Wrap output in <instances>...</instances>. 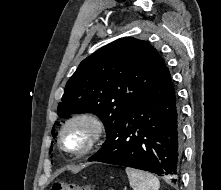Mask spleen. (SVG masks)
<instances>
[{
  "label": "spleen",
  "mask_w": 221,
  "mask_h": 190,
  "mask_svg": "<svg viewBox=\"0 0 221 190\" xmlns=\"http://www.w3.org/2000/svg\"><path fill=\"white\" fill-rule=\"evenodd\" d=\"M130 187L134 190H159L160 182L151 173L127 167L125 169Z\"/></svg>",
  "instance_id": "3e777b00"
}]
</instances>
